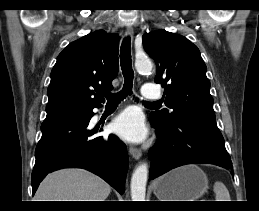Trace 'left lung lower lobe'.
I'll list each match as a JSON object with an SVG mask.
<instances>
[{"mask_svg": "<svg viewBox=\"0 0 259 211\" xmlns=\"http://www.w3.org/2000/svg\"><path fill=\"white\" fill-rule=\"evenodd\" d=\"M150 119L158 136L157 144L149 151L150 179L193 163L214 164L232 171L231 158L216 123L185 117L166 126Z\"/></svg>", "mask_w": 259, "mask_h": 211, "instance_id": "left-lung-lower-lobe-1", "label": "left lung lower lobe"}]
</instances>
